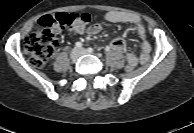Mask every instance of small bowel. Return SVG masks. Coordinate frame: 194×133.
Listing matches in <instances>:
<instances>
[{
	"label": "small bowel",
	"mask_w": 194,
	"mask_h": 133,
	"mask_svg": "<svg viewBox=\"0 0 194 133\" xmlns=\"http://www.w3.org/2000/svg\"><path fill=\"white\" fill-rule=\"evenodd\" d=\"M105 19L112 23H130L135 26L136 32L141 39V51L139 55H136L134 52H128L126 54V60L127 63L133 67L147 63L150 57L151 45L147 39V27L143 20L136 14L124 11H110L105 15ZM101 29L102 25L100 23H95L89 27L88 31L90 34H97ZM107 49L125 52L127 46L124 39L118 37L110 43Z\"/></svg>",
	"instance_id": "obj_1"
}]
</instances>
